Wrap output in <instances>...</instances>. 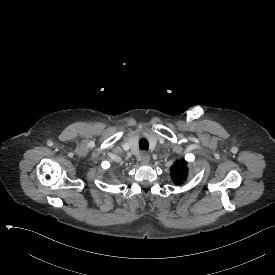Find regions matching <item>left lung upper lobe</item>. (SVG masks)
Listing matches in <instances>:
<instances>
[{
    "label": "left lung upper lobe",
    "instance_id": "left-lung-upper-lobe-1",
    "mask_svg": "<svg viewBox=\"0 0 275 275\" xmlns=\"http://www.w3.org/2000/svg\"><path fill=\"white\" fill-rule=\"evenodd\" d=\"M187 162L185 160L176 161L170 168V175L177 185L182 184L187 178Z\"/></svg>",
    "mask_w": 275,
    "mask_h": 275
}]
</instances>
